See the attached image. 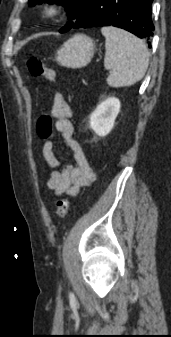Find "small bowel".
<instances>
[{
	"label": "small bowel",
	"instance_id": "obj_1",
	"mask_svg": "<svg viewBox=\"0 0 171 337\" xmlns=\"http://www.w3.org/2000/svg\"><path fill=\"white\" fill-rule=\"evenodd\" d=\"M51 114L55 119V128L62 135L68 147L74 155V164L61 166V158L53 149V142L44 143L42 154L49 167L52 169L47 181V188L55 195L75 196L84 186L90 185L96 178V174L90 166L87 157L74 138V126L70 121L73 111L64 96L56 93L53 97Z\"/></svg>",
	"mask_w": 171,
	"mask_h": 337
}]
</instances>
